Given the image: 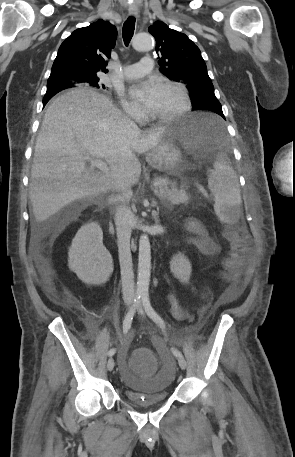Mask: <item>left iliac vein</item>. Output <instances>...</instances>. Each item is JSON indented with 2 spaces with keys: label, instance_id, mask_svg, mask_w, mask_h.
<instances>
[{
  "label": "left iliac vein",
  "instance_id": "obj_1",
  "mask_svg": "<svg viewBox=\"0 0 295 457\" xmlns=\"http://www.w3.org/2000/svg\"><path fill=\"white\" fill-rule=\"evenodd\" d=\"M137 312L140 316L144 317L145 316V313H144V310L141 306V304H138L137 306ZM177 360H178V364L179 366L181 367V369H185L186 366H187V363H186V360L183 358V357H177Z\"/></svg>",
  "mask_w": 295,
  "mask_h": 457
}]
</instances>
